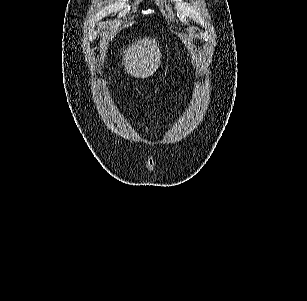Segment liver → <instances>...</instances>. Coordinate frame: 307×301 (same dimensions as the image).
Wrapping results in <instances>:
<instances>
[{
    "mask_svg": "<svg viewBox=\"0 0 307 301\" xmlns=\"http://www.w3.org/2000/svg\"><path fill=\"white\" fill-rule=\"evenodd\" d=\"M124 70L135 78H148L154 74L161 64V52L155 38H140L136 42L128 44V48H122Z\"/></svg>",
    "mask_w": 307,
    "mask_h": 301,
    "instance_id": "obj_1",
    "label": "liver"
}]
</instances>
